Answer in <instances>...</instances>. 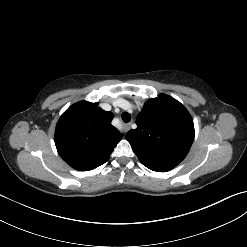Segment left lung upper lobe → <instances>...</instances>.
I'll return each instance as SVG.
<instances>
[{
    "label": "left lung upper lobe",
    "instance_id": "obj_1",
    "mask_svg": "<svg viewBox=\"0 0 247 247\" xmlns=\"http://www.w3.org/2000/svg\"><path fill=\"white\" fill-rule=\"evenodd\" d=\"M136 124L126 139L147 168L157 172L172 170L188 154L194 139L193 120L174 98L161 94L148 100Z\"/></svg>",
    "mask_w": 247,
    "mask_h": 247
}]
</instances>
